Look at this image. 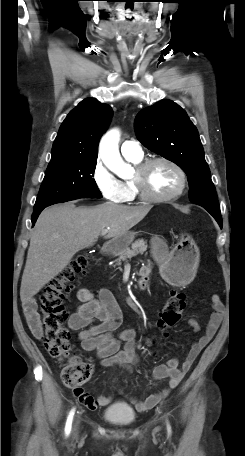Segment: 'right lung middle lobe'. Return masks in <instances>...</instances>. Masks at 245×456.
Returning <instances> with one entry per match:
<instances>
[{"label":"right lung middle lobe","mask_w":245,"mask_h":456,"mask_svg":"<svg viewBox=\"0 0 245 456\" xmlns=\"http://www.w3.org/2000/svg\"><path fill=\"white\" fill-rule=\"evenodd\" d=\"M97 157L68 158L49 163L34 210L77 198H102L93 179Z\"/></svg>","instance_id":"obj_1"}]
</instances>
